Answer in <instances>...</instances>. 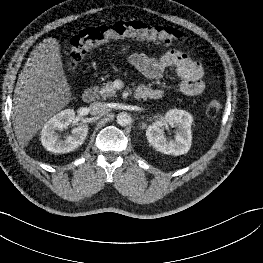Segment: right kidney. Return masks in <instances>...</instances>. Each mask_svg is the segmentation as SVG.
Here are the masks:
<instances>
[{
    "label": "right kidney",
    "instance_id": "right-kidney-1",
    "mask_svg": "<svg viewBox=\"0 0 263 263\" xmlns=\"http://www.w3.org/2000/svg\"><path fill=\"white\" fill-rule=\"evenodd\" d=\"M75 119V112L66 109L50 118L43 126L41 142L44 148L53 153H68L84 143L88 126L81 125L72 129V134L62 139L57 133L66 129Z\"/></svg>",
    "mask_w": 263,
    "mask_h": 263
}]
</instances>
